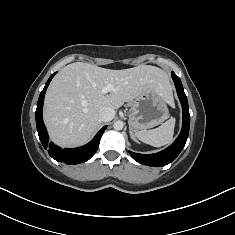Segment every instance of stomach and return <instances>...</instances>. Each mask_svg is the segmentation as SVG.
<instances>
[{
	"mask_svg": "<svg viewBox=\"0 0 235 235\" xmlns=\"http://www.w3.org/2000/svg\"><path fill=\"white\" fill-rule=\"evenodd\" d=\"M129 125L135 131H146L169 117L166 100L154 89L141 93L130 104Z\"/></svg>",
	"mask_w": 235,
	"mask_h": 235,
	"instance_id": "obj_1",
	"label": "stomach"
}]
</instances>
